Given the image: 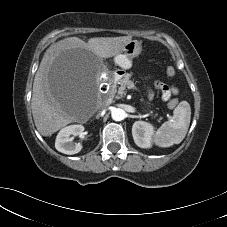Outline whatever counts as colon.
<instances>
[{
  "mask_svg": "<svg viewBox=\"0 0 227 227\" xmlns=\"http://www.w3.org/2000/svg\"><path fill=\"white\" fill-rule=\"evenodd\" d=\"M166 72H167L168 75L172 76V75L175 74V69L173 67H168ZM177 103H178L177 99H172L169 102V107L174 108L177 105Z\"/></svg>",
  "mask_w": 227,
  "mask_h": 227,
  "instance_id": "1",
  "label": "colon"
}]
</instances>
